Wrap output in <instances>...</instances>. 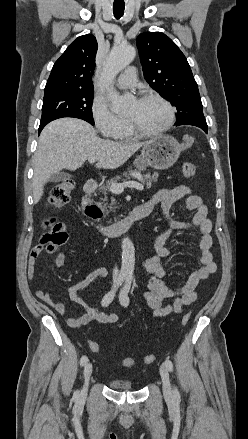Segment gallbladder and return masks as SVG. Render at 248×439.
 Here are the masks:
<instances>
[{"label":"gallbladder","instance_id":"gallbladder-1","mask_svg":"<svg viewBox=\"0 0 248 439\" xmlns=\"http://www.w3.org/2000/svg\"><path fill=\"white\" fill-rule=\"evenodd\" d=\"M70 178V175L64 172H58L56 174H53L48 179L49 182H60L63 180H67Z\"/></svg>","mask_w":248,"mask_h":439}]
</instances>
